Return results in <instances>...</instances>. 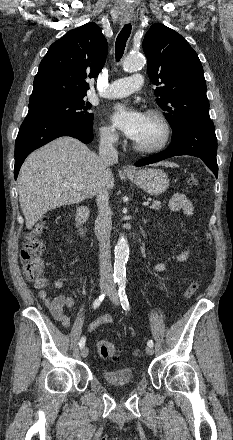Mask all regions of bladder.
<instances>
[{
	"label": "bladder",
	"mask_w": 233,
	"mask_h": 440,
	"mask_svg": "<svg viewBox=\"0 0 233 440\" xmlns=\"http://www.w3.org/2000/svg\"><path fill=\"white\" fill-rule=\"evenodd\" d=\"M133 377V371L127 367L103 372V378L112 386L128 385L133 381Z\"/></svg>",
	"instance_id": "1"
}]
</instances>
